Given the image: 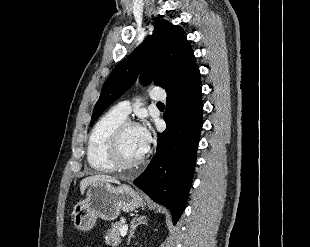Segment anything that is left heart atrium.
<instances>
[{
  "instance_id": "39dd6f15",
  "label": "left heart atrium",
  "mask_w": 310,
  "mask_h": 247,
  "mask_svg": "<svg viewBox=\"0 0 310 247\" xmlns=\"http://www.w3.org/2000/svg\"><path fill=\"white\" fill-rule=\"evenodd\" d=\"M139 137L142 144L144 153L148 150L150 141H151V131L147 125H142L138 127Z\"/></svg>"
}]
</instances>
